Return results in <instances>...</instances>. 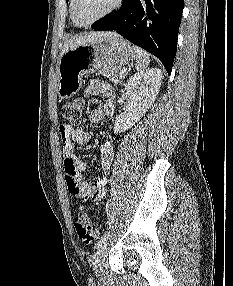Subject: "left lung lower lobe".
<instances>
[{
	"label": "left lung lower lobe",
	"mask_w": 233,
	"mask_h": 286,
	"mask_svg": "<svg viewBox=\"0 0 233 286\" xmlns=\"http://www.w3.org/2000/svg\"><path fill=\"white\" fill-rule=\"evenodd\" d=\"M184 0H124L117 12L92 24L117 33L160 59L170 75Z\"/></svg>",
	"instance_id": "1"
}]
</instances>
